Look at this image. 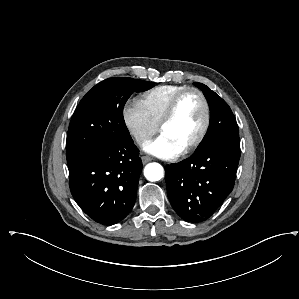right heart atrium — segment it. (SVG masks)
Returning a JSON list of instances; mask_svg holds the SVG:
<instances>
[{"label":"right heart atrium","instance_id":"obj_1","mask_svg":"<svg viewBox=\"0 0 299 299\" xmlns=\"http://www.w3.org/2000/svg\"><path fill=\"white\" fill-rule=\"evenodd\" d=\"M122 115L125 127L137 145H143L157 132V126L137 102L125 104Z\"/></svg>","mask_w":299,"mask_h":299}]
</instances>
